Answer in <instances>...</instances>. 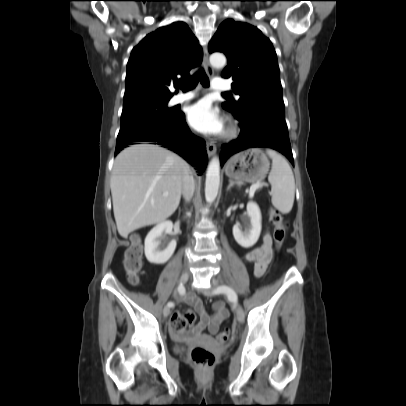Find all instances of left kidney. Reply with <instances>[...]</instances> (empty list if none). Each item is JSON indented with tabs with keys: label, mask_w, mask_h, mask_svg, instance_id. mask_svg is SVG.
<instances>
[{
	"label": "left kidney",
	"mask_w": 406,
	"mask_h": 406,
	"mask_svg": "<svg viewBox=\"0 0 406 406\" xmlns=\"http://www.w3.org/2000/svg\"><path fill=\"white\" fill-rule=\"evenodd\" d=\"M261 219L259 206L255 202H248L244 228L239 223L233 226V236L240 246L250 248L258 241L262 228Z\"/></svg>",
	"instance_id": "obj_1"
}]
</instances>
